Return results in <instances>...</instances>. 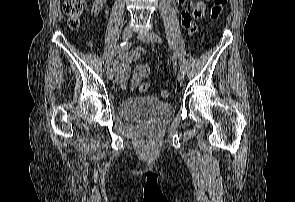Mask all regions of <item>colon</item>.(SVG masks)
<instances>
[{
  "mask_svg": "<svg viewBox=\"0 0 295 202\" xmlns=\"http://www.w3.org/2000/svg\"><path fill=\"white\" fill-rule=\"evenodd\" d=\"M87 0H65L63 4V10L68 18L69 27L73 30L77 29L80 25L81 17L83 15L84 9L86 7ZM227 0H213L210 17L212 20H218L222 14L224 6ZM150 72V67L147 63L141 62L136 67V75L148 76ZM141 92H146L151 90V85L148 83H143L139 87ZM161 97L167 98L170 93L168 90L164 89L161 91Z\"/></svg>",
  "mask_w": 295,
  "mask_h": 202,
  "instance_id": "obj_1",
  "label": "colon"
}]
</instances>
